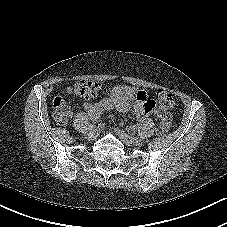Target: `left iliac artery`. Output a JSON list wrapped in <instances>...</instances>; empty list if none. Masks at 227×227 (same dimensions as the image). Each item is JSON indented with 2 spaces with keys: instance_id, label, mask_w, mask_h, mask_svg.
<instances>
[{
  "instance_id": "obj_1",
  "label": "left iliac artery",
  "mask_w": 227,
  "mask_h": 227,
  "mask_svg": "<svg viewBox=\"0 0 227 227\" xmlns=\"http://www.w3.org/2000/svg\"><path fill=\"white\" fill-rule=\"evenodd\" d=\"M138 139H139V141H141V142H142V141H144V139H145V138H144V136H142V135H141V136H139V138H138Z\"/></svg>"
}]
</instances>
